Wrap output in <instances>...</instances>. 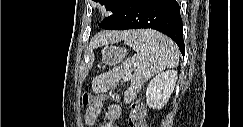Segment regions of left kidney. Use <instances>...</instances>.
I'll return each mask as SVG.
<instances>
[{"mask_svg":"<svg viewBox=\"0 0 243 127\" xmlns=\"http://www.w3.org/2000/svg\"><path fill=\"white\" fill-rule=\"evenodd\" d=\"M177 80V72L168 70L156 75L148 84L146 103L150 108L161 109L168 102Z\"/></svg>","mask_w":243,"mask_h":127,"instance_id":"5707ae66","label":"left kidney"}]
</instances>
